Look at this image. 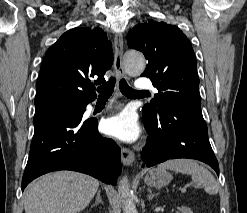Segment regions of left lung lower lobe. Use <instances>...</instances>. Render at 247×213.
I'll use <instances>...</instances> for the list:
<instances>
[{"instance_id":"obj_1","label":"left lung lower lobe","mask_w":247,"mask_h":213,"mask_svg":"<svg viewBox=\"0 0 247 213\" xmlns=\"http://www.w3.org/2000/svg\"><path fill=\"white\" fill-rule=\"evenodd\" d=\"M144 126L149 139L142 150L143 167L169 159L189 158L210 165L219 175L201 108L181 99H168L155 121L144 122Z\"/></svg>"}]
</instances>
